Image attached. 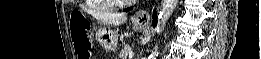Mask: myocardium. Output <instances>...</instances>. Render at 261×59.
Here are the masks:
<instances>
[{
    "instance_id": "f54148a6",
    "label": "myocardium",
    "mask_w": 261,
    "mask_h": 59,
    "mask_svg": "<svg viewBox=\"0 0 261 59\" xmlns=\"http://www.w3.org/2000/svg\"><path fill=\"white\" fill-rule=\"evenodd\" d=\"M127 1H115V4L118 6H122L123 4H126Z\"/></svg>"
}]
</instances>
